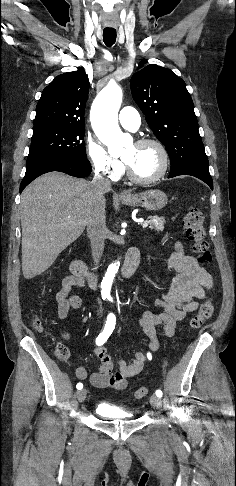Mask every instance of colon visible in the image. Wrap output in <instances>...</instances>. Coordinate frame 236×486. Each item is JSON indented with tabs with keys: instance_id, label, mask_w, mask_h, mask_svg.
I'll return each instance as SVG.
<instances>
[{
	"instance_id": "obj_1",
	"label": "colon",
	"mask_w": 236,
	"mask_h": 486,
	"mask_svg": "<svg viewBox=\"0 0 236 486\" xmlns=\"http://www.w3.org/2000/svg\"><path fill=\"white\" fill-rule=\"evenodd\" d=\"M183 223L185 235L187 239L193 243V251L197 255L198 261L203 264L210 263L212 255L209 250V243L206 240L203 212L195 206L188 207L184 214ZM213 312L214 306L212 301L210 299L206 300L201 304L199 311L191 319L190 326L193 329H199L213 315ZM33 325L36 329H41V322L38 318H34ZM56 353L61 359H66L69 355L67 347L63 344L57 345ZM148 392L149 389L142 386L135 391L134 396L136 399H141L145 397Z\"/></svg>"
}]
</instances>
